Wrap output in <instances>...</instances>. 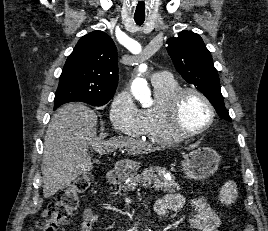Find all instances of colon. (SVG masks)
<instances>
[{"mask_svg": "<svg viewBox=\"0 0 268 231\" xmlns=\"http://www.w3.org/2000/svg\"><path fill=\"white\" fill-rule=\"evenodd\" d=\"M89 177L83 176L71 181L67 186L59 189L54 199L48 204L46 212L38 220L36 231H57L72 217L78 207L81 195L86 191ZM253 223H246L240 231H254Z\"/></svg>", "mask_w": 268, "mask_h": 231, "instance_id": "colon-1", "label": "colon"}]
</instances>
